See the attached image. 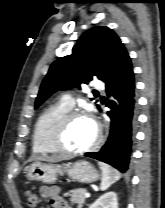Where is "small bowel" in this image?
I'll use <instances>...</instances> for the list:
<instances>
[{
    "label": "small bowel",
    "instance_id": "c3829d8e",
    "mask_svg": "<svg viewBox=\"0 0 165 208\" xmlns=\"http://www.w3.org/2000/svg\"><path fill=\"white\" fill-rule=\"evenodd\" d=\"M40 193L43 198L50 201L53 208H71L60 196V189L57 186H42Z\"/></svg>",
    "mask_w": 165,
    "mask_h": 208
}]
</instances>
